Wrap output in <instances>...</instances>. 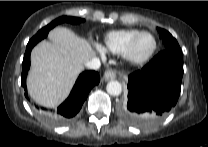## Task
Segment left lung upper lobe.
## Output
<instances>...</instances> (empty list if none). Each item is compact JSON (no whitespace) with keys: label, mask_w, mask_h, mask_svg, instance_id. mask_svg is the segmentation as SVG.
<instances>
[{"label":"left lung upper lobe","mask_w":208,"mask_h":147,"mask_svg":"<svg viewBox=\"0 0 208 147\" xmlns=\"http://www.w3.org/2000/svg\"><path fill=\"white\" fill-rule=\"evenodd\" d=\"M157 30L159 32L160 38L162 39V42L165 45V50L182 53L177 40L168 31L161 28H157Z\"/></svg>","instance_id":"5c2ea615"}]
</instances>
